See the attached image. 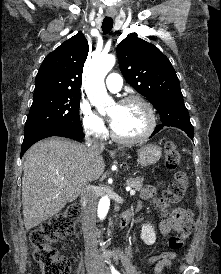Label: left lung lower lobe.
<instances>
[{
    "label": "left lung lower lobe",
    "instance_id": "left-lung-lower-lobe-1",
    "mask_svg": "<svg viewBox=\"0 0 221 274\" xmlns=\"http://www.w3.org/2000/svg\"><path fill=\"white\" fill-rule=\"evenodd\" d=\"M161 118L162 124L158 125L154 130L153 134H156L164 126L177 127L190 137L193 138V127L190 122L188 110L185 106L179 108H173L168 110L167 114H164Z\"/></svg>",
    "mask_w": 221,
    "mask_h": 274
}]
</instances>
